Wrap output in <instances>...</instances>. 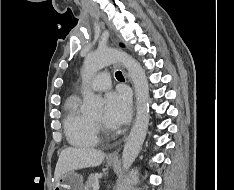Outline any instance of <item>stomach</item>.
Here are the masks:
<instances>
[{"instance_id":"1","label":"stomach","mask_w":234,"mask_h":190,"mask_svg":"<svg viewBox=\"0 0 234 190\" xmlns=\"http://www.w3.org/2000/svg\"><path fill=\"white\" fill-rule=\"evenodd\" d=\"M108 164L114 166L116 161H108ZM54 190H83V178L73 171L67 172L57 181Z\"/></svg>"}]
</instances>
